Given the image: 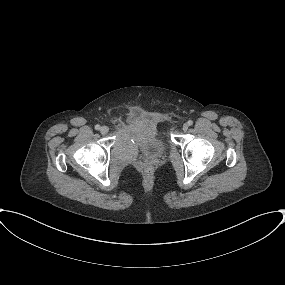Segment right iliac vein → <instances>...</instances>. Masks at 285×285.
I'll return each instance as SVG.
<instances>
[{
	"label": "right iliac vein",
	"mask_w": 285,
	"mask_h": 285,
	"mask_svg": "<svg viewBox=\"0 0 285 285\" xmlns=\"http://www.w3.org/2000/svg\"><path fill=\"white\" fill-rule=\"evenodd\" d=\"M100 132H101V134L105 135L109 132V128L107 126H102L100 128Z\"/></svg>",
	"instance_id": "right-iliac-vein-1"
}]
</instances>
